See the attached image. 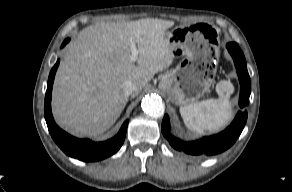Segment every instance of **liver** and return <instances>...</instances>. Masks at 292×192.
<instances>
[{
    "label": "liver",
    "instance_id": "obj_1",
    "mask_svg": "<svg viewBox=\"0 0 292 192\" xmlns=\"http://www.w3.org/2000/svg\"><path fill=\"white\" fill-rule=\"evenodd\" d=\"M173 21L144 18L84 28L69 45L57 70L52 112L59 126L84 136L108 130L128 102L122 84L132 81L138 95L154 75L172 64L166 31ZM139 55L130 60L131 40Z\"/></svg>",
    "mask_w": 292,
    "mask_h": 192
}]
</instances>
